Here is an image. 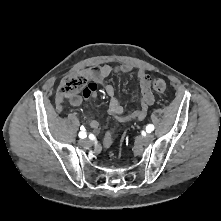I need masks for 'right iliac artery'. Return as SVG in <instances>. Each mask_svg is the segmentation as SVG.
I'll use <instances>...</instances> for the list:
<instances>
[{
	"label": "right iliac artery",
	"instance_id": "1",
	"mask_svg": "<svg viewBox=\"0 0 221 221\" xmlns=\"http://www.w3.org/2000/svg\"><path fill=\"white\" fill-rule=\"evenodd\" d=\"M79 137H80L81 139H84V138L87 137V134H86V132L84 131V128L82 129L81 132H79Z\"/></svg>",
	"mask_w": 221,
	"mask_h": 221
}]
</instances>
